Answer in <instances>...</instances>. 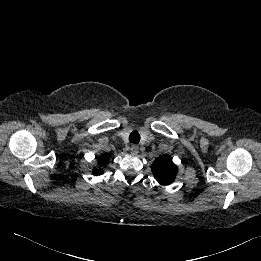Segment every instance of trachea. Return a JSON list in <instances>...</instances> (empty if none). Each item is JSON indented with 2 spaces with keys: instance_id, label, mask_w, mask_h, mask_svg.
<instances>
[{
  "instance_id": "3493384b",
  "label": "trachea",
  "mask_w": 261,
  "mask_h": 261,
  "mask_svg": "<svg viewBox=\"0 0 261 261\" xmlns=\"http://www.w3.org/2000/svg\"><path fill=\"white\" fill-rule=\"evenodd\" d=\"M129 141L131 143H135V144L139 143V141H140V134L138 133V131L134 130L133 132L130 133Z\"/></svg>"
}]
</instances>
